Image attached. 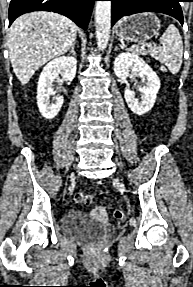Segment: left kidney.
I'll return each instance as SVG.
<instances>
[{"instance_id":"1","label":"left kidney","mask_w":193,"mask_h":287,"mask_svg":"<svg viewBox=\"0 0 193 287\" xmlns=\"http://www.w3.org/2000/svg\"><path fill=\"white\" fill-rule=\"evenodd\" d=\"M114 72L118 78L126 79L131 72L145 84L139 88L141 101L125 88V100L128 107L137 115H143L153 107L157 93L160 89V80L153 69L138 55L134 53H120L114 61Z\"/></svg>"}]
</instances>
